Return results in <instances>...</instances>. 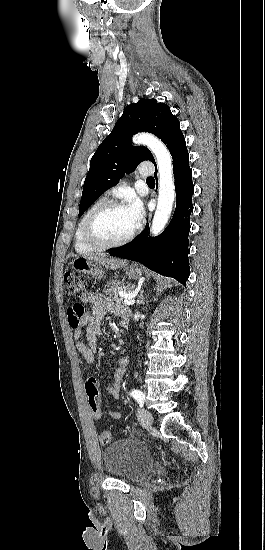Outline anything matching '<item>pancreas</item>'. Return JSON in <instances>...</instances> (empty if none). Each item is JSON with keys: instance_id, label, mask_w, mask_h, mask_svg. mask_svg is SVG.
Here are the masks:
<instances>
[{"instance_id": "obj_1", "label": "pancreas", "mask_w": 265, "mask_h": 550, "mask_svg": "<svg viewBox=\"0 0 265 550\" xmlns=\"http://www.w3.org/2000/svg\"><path fill=\"white\" fill-rule=\"evenodd\" d=\"M134 289V285L131 283L125 284L124 281L115 280L105 285L104 292L109 296L110 301L117 304H121L123 298L119 294L120 291L129 293Z\"/></svg>"}]
</instances>
